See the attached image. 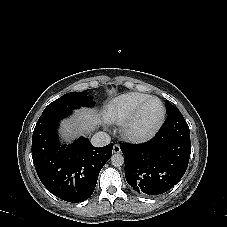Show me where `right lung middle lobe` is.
<instances>
[{"mask_svg": "<svg viewBox=\"0 0 227 227\" xmlns=\"http://www.w3.org/2000/svg\"><path fill=\"white\" fill-rule=\"evenodd\" d=\"M87 95L88 92L67 93L50 103L42 114L70 113L81 106L93 107L95 102Z\"/></svg>", "mask_w": 227, "mask_h": 227, "instance_id": "obj_1", "label": "right lung middle lobe"}]
</instances>
